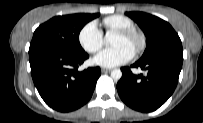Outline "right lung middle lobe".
<instances>
[{
  "mask_svg": "<svg viewBox=\"0 0 203 123\" xmlns=\"http://www.w3.org/2000/svg\"><path fill=\"white\" fill-rule=\"evenodd\" d=\"M99 14H73L56 16L40 25L34 32L30 46L40 45L67 52L84 51L79 33L86 23Z\"/></svg>",
  "mask_w": 203,
  "mask_h": 123,
  "instance_id": "1",
  "label": "right lung middle lobe"
}]
</instances>
